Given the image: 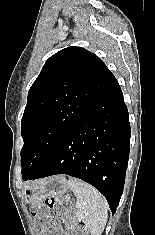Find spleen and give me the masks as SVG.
Segmentation results:
<instances>
[{
  "instance_id": "obj_1",
  "label": "spleen",
  "mask_w": 155,
  "mask_h": 235,
  "mask_svg": "<svg viewBox=\"0 0 155 235\" xmlns=\"http://www.w3.org/2000/svg\"><path fill=\"white\" fill-rule=\"evenodd\" d=\"M76 196L77 218L85 223L91 235H101L108 218V203L93 186L78 179L67 182Z\"/></svg>"
}]
</instances>
